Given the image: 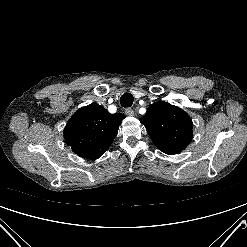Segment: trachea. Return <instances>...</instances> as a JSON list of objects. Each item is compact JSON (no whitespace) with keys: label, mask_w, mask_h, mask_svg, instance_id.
Masks as SVG:
<instances>
[{"label":"trachea","mask_w":247,"mask_h":247,"mask_svg":"<svg viewBox=\"0 0 247 247\" xmlns=\"http://www.w3.org/2000/svg\"><path fill=\"white\" fill-rule=\"evenodd\" d=\"M133 96L131 93H124L120 98V104L122 107L128 108L133 104Z\"/></svg>","instance_id":"3493384b"}]
</instances>
